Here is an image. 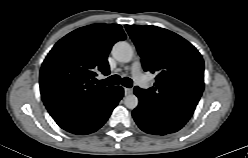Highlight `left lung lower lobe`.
<instances>
[{
  "instance_id": "0a47b994",
  "label": "left lung lower lobe",
  "mask_w": 248,
  "mask_h": 158,
  "mask_svg": "<svg viewBox=\"0 0 248 158\" xmlns=\"http://www.w3.org/2000/svg\"><path fill=\"white\" fill-rule=\"evenodd\" d=\"M140 102L132 112L133 118L141 130L149 134L165 135L180 130L186 122L175 119L146 100L138 91H134Z\"/></svg>"
}]
</instances>
